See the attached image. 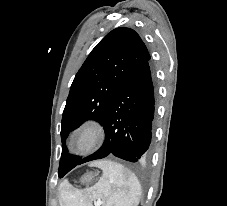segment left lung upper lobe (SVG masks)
<instances>
[{"mask_svg":"<svg viewBox=\"0 0 227 206\" xmlns=\"http://www.w3.org/2000/svg\"><path fill=\"white\" fill-rule=\"evenodd\" d=\"M149 60V52L140 36L125 27L109 32L91 51L74 78L63 111L59 174L73 169L81 160L67 154L64 143L70 131L89 119L103 125L121 86Z\"/></svg>","mask_w":227,"mask_h":206,"instance_id":"1","label":"left lung upper lobe"}]
</instances>
